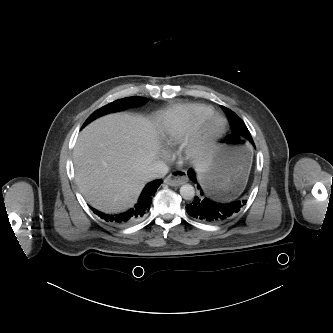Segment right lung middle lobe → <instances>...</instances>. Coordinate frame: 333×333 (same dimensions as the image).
Masks as SVG:
<instances>
[{"label": "right lung middle lobe", "instance_id": "obj_1", "mask_svg": "<svg viewBox=\"0 0 333 333\" xmlns=\"http://www.w3.org/2000/svg\"><path fill=\"white\" fill-rule=\"evenodd\" d=\"M147 101L146 98L144 97H138V96H133V97H127V98H123V99H119L116 100L110 104H107L106 106L96 110L84 123L83 127L85 125H87L88 123H90L91 121H93L94 119L111 113V112H117V111H121L124 110L128 107H132V106H139L144 104Z\"/></svg>", "mask_w": 333, "mask_h": 333}]
</instances>
